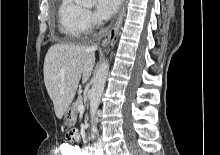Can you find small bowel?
<instances>
[{"label": "small bowel", "mask_w": 220, "mask_h": 155, "mask_svg": "<svg viewBox=\"0 0 220 155\" xmlns=\"http://www.w3.org/2000/svg\"><path fill=\"white\" fill-rule=\"evenodd\" d=\"M69 130H66V141L67 143L62 144L61 146H75L72 144H80V130H74V126H69ZM81 155H91V149L85 148L81 149Z\"/></svg>", "instance_id": "c3829d8e"}]
</instances>
